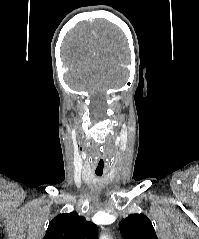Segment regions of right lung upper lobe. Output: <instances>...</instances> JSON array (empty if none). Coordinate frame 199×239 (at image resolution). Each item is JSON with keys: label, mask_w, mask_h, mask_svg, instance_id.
<instances>
[{"label": "right lung upper lobe", "mask_w": 199, "mask_h": 239, "mask_svg": "<svg viewBox=\"0 0 199 239\" xmlns=\"http://www.w3.org/2000/svg\"><path fill=\"white\" fill-rule=\"evenodd\" d=\"M98 230L94 223L87 222L76 212L60 214L49 224L43 239H97Z\"/></svg>", "instance_id": "right-lung-upper-lobe-1"}]
</instances>
